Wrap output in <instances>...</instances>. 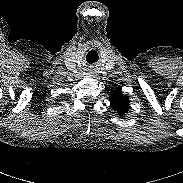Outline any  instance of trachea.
Returning <instances> with one entry per match:
<instances>
[{
    "label": "trachea",
    "instance_id": "obj_1",
    "mask_svg": "<svg viewBox=\"0 0 183 183\" xmlns=\"http://www.w3.org/2000/svg\"><path fill=\"white\" fill-rule=\"evenodd\" d=\"M90 54V53H89ZM92 59H90V60H87L89 63H94V62H96L97 60H98V55L96 54V55H94V56H92L91 57Z\"/></svg>",
    "mask_w": 183,
    "mask_h": 183
}]
</instances>
